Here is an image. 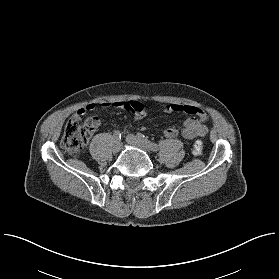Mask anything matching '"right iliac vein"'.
Segmentation results:
<instances>
[{
	"label": "right iliac vein",
	"instance_id": "63e3f726",
	"mask_svg": "<svg viewBox=\"0 0 279 279\" xmlns=\"http://www.w3.org/2000/svg\"><path fill=\"white\" fill-rule=\"evenodd\" d=\"M121 148H122V144L120 141H118L114 143L112 150L113 152L118 153L121 150Z\"/></svg>",
	"mask_w": 279,
	"mask_h": 279
}]
</instances>
